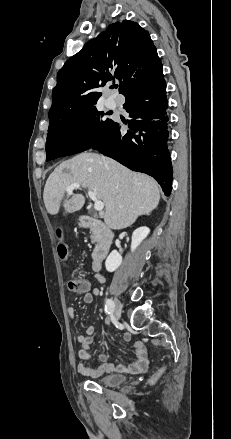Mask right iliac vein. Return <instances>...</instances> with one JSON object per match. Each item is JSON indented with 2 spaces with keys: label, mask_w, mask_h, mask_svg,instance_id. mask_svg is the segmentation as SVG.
Masks as SVG:
<instances>
[{
  "label": "right iliac vein",
  "mask_w": 231,
  "mask_h": 439,
  "mask_svg": "<svg viewBox=\"0 0 231 439\" xmlns=\"http://www.w3.org/2000/svg\"><path fill=\"white\" fill-rule=\"evenodd\" d=\"M115 316L117 318L121 317V313H122V305L120 303V301L117 298H114V310H113Z\"/></svg>",
  "instance_id": "right-iliac-vein-1"
}]
</instances>
